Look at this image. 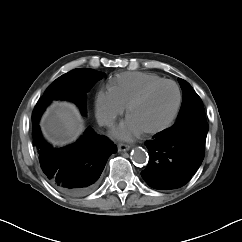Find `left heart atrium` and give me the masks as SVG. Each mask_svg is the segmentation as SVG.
Listing matches in <instances>:
<instances>
[{
  "instance_id": "1",
  "label": "left heart atrium",
  "mask_w": 242,
  "mask_h": 242,
  "mask_svg": "<svg viewBox=\"0 0 242 242\" xmlns=\"http://www.w3.org/2000/svg\"><path fill=\"white\" fill-rule=\"evenodd\" d=\"M141 132L140 128L130 118L122 122L112 131L115 137L123 140H129Z\"/></svg>"
}]
</instances>
